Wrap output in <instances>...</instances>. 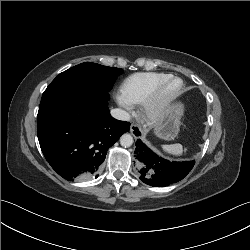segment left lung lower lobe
<instances>
[{
	"instance_id": "1",
	"label": "left lung lower lobe",
	"mask_w": 250,
	"mask_h": 250,
	"mask_svg": "<svg viewBox=\"0 0 250 250\" xmlns=\"http://www.w3.org/2000/svg\"><path fill=\"white\" fill-rule=\"evenodd\" d=\"M136 163L140 179L151 186L165 187L182 180L195 161L170 162L153 153L140 139L136 142Z\"/></svg>"
}]
</instances>
